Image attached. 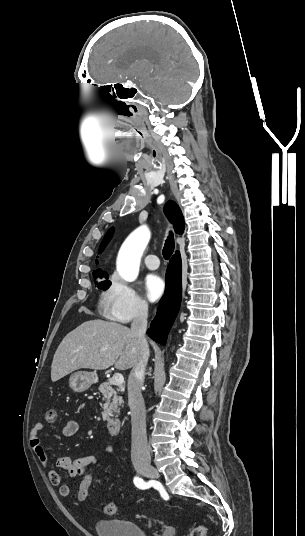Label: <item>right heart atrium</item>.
<instances>
[{
  "label": "right heart atrium",
  "instance_id": "obj_1",
  "mask_svg": "<svg viewBox=\"0 0 305 536\" xmlns=\"http://www.w3.org/2000/svg\"><path fill=\"white\" fill-rule=\"evenodd\" d=\"M149 313L147 301L128 283L113 276L103 296V314L106 318L127 324Z\"/></svg>",
  "mask_w": 305,
  "mask_h": 536
}]
</instances>
